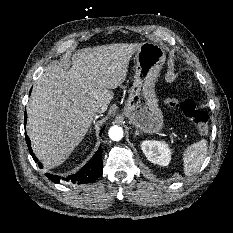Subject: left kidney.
<instances>
[{
	"mask_svg": "<svg viewBox=\"0 0 233 233\" xmlns=\"http://www.w3.org/2000/svg\"><path fill=\"white\" fill-rule=\"evenodd\" d=\"M141 149L147 159L161 166H167L171 160V150L164 142L146 140L141 144Z\"/></svg>",
	"mask_w": 233,
	"mask_h": 233,
	"instance_id": "5707ae66",
	"label": "left kidney"
}]
</instances>
